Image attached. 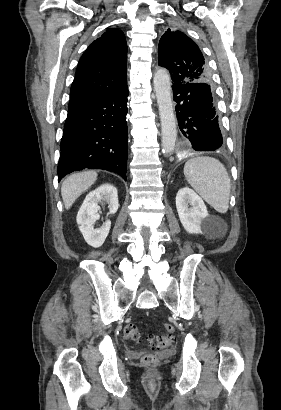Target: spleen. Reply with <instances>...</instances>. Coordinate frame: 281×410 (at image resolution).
<instances>
[{
	"instance_id": "3e777b00",
	"label": "spleen",
	"mask_w": 281,
	"mask_h": 410,
	"mask_svg": "<svg viewBox=\"0 0 281 410\" xmlns=\"http://www.w3.org/2000/svg\"><path fill=\"white\" fill-rule=\"evenodd\" d=\"M184 175L191 187L217 212L229 208L230 179L224 165L213 157H194L184 166Z\"/></svg>"
}]
</instances>
